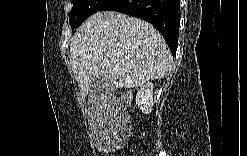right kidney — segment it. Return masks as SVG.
Returning a JSON list of instances; mask_svg holds the SVG:
<instances>
[{"label":"right kidney","instance_id":"1","mask_svg":"<svg viewBox=\"0 0 247 156\" xmlns=\"http://www.w3.org/2000/svg\"><path fill=\"white\" fill-rule=\"evenodd\" d=\"M153 83L147 82L137 92L136 105L144 114H150L153 108Z\"/></svg>","mask_w":247,"mask_h":156}]
</instances>
